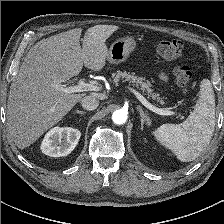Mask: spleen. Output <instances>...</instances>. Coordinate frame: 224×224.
I'll list each match as a JSON object with an SVG mask.
<instances>
[{
	"label": "spleen",
	"mask_w": 224,
	"mask_h": 224,
	"mask_svg": "<svg viewBox=\"0 0 224 224\" xmlns=\"http://www.w3.org/2000/svg\"><path fill=\"white\" fill-rule=\"evenodd\" d=\"M215 126V95L209 79L200 83L194 111L181 124H163L152 134L182 162L193 161L210 143Z\"/></svg>",
	"instance_id": "obj_1"
}]
</instances>
